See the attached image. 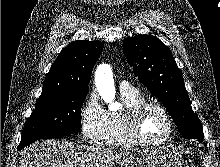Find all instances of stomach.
<instances>
[{"label":"stomach","instance_id":"obj_1","mask_svg":"<svg viewBox=\"0 0 220 167\" xmlns=\"http://www.w3.org/2000/svg\"><path fill=\"white\" fill-rule=\"evenodd\" d=\"M119 167H189L184 158L166 147L131 149L123 156Z\"/></svg>","mask_w":220,"mask_h":167}]
</instances>
